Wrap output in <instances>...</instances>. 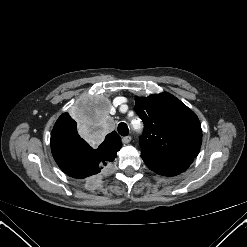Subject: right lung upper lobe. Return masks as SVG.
<instances>
[{
	"mask_svg": "<svg viewBox=\"0 0 247 247\" xmlns=\"http://www.w3.org/2000/svg\"><path fill=\"white\" fill-rule=\"evenodd\" d=\"M53 129L65 130L73 133H77V125H75L68 113H63L57 120ZM101 147L107 146L112 150L119 151L122 147L119 135L113 131L105 137Z\"/></svg>",
	"mask_w": 247,
	"mask_h": 247,
	"instance_id": "1",
	"label": "right lung upper lobe"
}]
</instances>
